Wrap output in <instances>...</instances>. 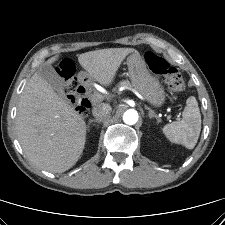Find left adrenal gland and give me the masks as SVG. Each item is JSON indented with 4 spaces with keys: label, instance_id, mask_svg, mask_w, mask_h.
Segmentation results:
<instances>
[{
    "label": "left adrenal gland",
    "instance_id": "obj_1",
    "mask_svg": "<svg viewBox=\"0 0 225 225\" xmlns=\"http://www.w3.org/2000/svg\"><path fill=\"white\" fill-rule=\"evenodd\" d=\"M145 109H147L149 111V117L150 118H156L158 122H160L159 117L154 113V111L152 109H150L149 107L145 106Z\"/></svg>",
    "mask_w": 225,
    "mask_h": 225
}]
</instances>
